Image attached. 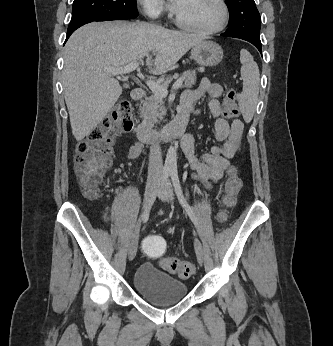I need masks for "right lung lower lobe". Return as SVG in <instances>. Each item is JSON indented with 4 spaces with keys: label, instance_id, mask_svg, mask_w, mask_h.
I'll use <instances>...</instances> for the list:
<instances>
[{
    "label": "right lung lower lobe",
    "instance_id": "98d812e1",
    "mask_svg": "<svg viewBox=\"0 0 333 346\" xmlns=\"http://www.w3.org/2000/svg\"><path fill=\"white\" fill-rule=\"evenodd\" d=\"M90 22H93V21H89V22L83 23V24L77 26L76 28H74V29H72V30H68V31H67L66 41H67V39L70 37V35H71L77 28L81 27V26L84 25V24L90 23ZM66 41H65V42H66Z\"/></svg>",
    "mask_w": 333,
    "mask_h": 346
}]
</instances>
